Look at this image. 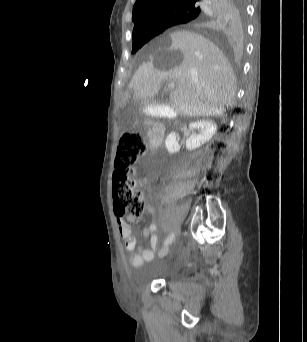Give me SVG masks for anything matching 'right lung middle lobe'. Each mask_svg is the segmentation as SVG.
Listing matches in <instances>:
<instances>
[{
	"instance_id": "obj_1",
	"label": "right lung middle lobe",
	"mask_w": 307,
	"mask_h": 342,
	"mask_svg": "<svg viewBox=\"0 0 307 342\" xmlns=\"http://www.w3.org/2000/svg\"><path fill=\"white\" fill-rule=\"evenodd\" d=\"M189 14H182L180 15L181 18L188 17ZM162 32V30H156V31H148L143 33H138L133 35V48H132V54L137 52L143 45H145L150 39L153 37L159 35Z\"/></svg>"
}]
</instances>
